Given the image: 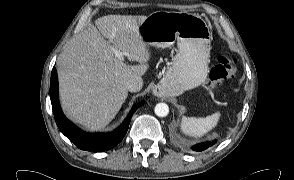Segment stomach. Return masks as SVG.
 <instances>
[{"instance_id": "1", "label": "stomach", "mask_w": 294, "mask_h": 180, "mask_svg": "<svg viewBox=\"0 0 294 180\" xmlns=\"http://www.w3.org/2000/svg\"><path fill=\"white\" fill-rule=\"evenodd\" d=\"M139 35L148 46L179 48L172 66L159 83L163 96H178L206 80L210 57L211 30L199 15L156 11L139 26Z\"/></svg>"}]
</instances>
